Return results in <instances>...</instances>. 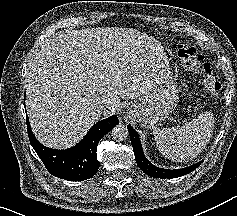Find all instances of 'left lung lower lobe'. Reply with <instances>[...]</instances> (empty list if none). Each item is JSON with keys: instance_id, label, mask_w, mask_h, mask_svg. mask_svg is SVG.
<instances>
[{"instance_id": "0a47b994", "label": "left lung lower lobe", "mask_w": 237, "mask_h": 216, "mask_svg": "<svg viewBox=\"0 0 237 216\" xmlns=\"http://www.w3.org/2000/svg\"><path fill=\"white\" fill-rule=\"evenodd\" d=\"M131 144L133 147V151L135 154V160L137 162L138 167L147 175L154 177V178H177L180 176H184L186 174H189L194 169H196L200 164L202 163H196L195 165L183 168V169H177V170H168V169H162L154 166L151 164L145 157L142 146L139 140L138 133L131 127V125L127 126Z\"/></svg>"}]
</instances>
